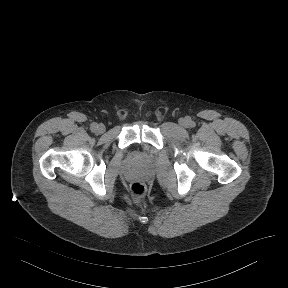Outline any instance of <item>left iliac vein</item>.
<instances>
[{"label": "left iliac vein", "instance_id": "obj_1", "mask_svg": "<svg viewBox=\"0 0 288 288\" xmlns=\"http://www.w3.org/2000/svg\"><path fill=\"white\" fill-rule=\"evenodd\" d=\"M179 123H180V125L183 126V127L189 126V121H188V119H186V118H181V119H179Z\"/></svg>", "mask_w": 288, "mask_h": 288}]
</instances>
